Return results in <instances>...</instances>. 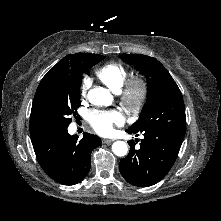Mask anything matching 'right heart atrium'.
I'll use <instances>...</instances> for the list:
<instances>
[{
	"instance_id": "obj_1",
	"label": "right heart atrium",
	"mask_w": 221,
	"mask_h": 221,
	"mask_svg": "<svg viewBox=\"0 0 221 221\" xmlns=\"http://www.w3.org/2000/svg\"><path fill=\"white\" fill-rule=\"evenodd\" d=\"M91 85V81L89 78L84 77L81 83V94L82 96H86L88 89Z\"/></svg>"
}]
</instances>
